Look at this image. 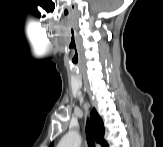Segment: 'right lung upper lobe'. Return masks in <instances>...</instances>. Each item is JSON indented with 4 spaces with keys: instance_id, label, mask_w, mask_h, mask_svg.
Returning <instances> with one entry per match:
<instances>
[{
    "instance_id": "cb5924a9",
    "label": "right lung upper lobe",
    "mask_w": 163,
    "mask_h": 147,
    "mask_svg": "<svg viewBox=\"0 0 163 147\" xmlns=\"http://www.w3.org/2000/svg\"><path fill=\"white\" fill-rule=\"evenodd\" d=\"M91 121H92V127L94 131V137L95 140L102 145V147H105L107 145L106 141L103 139L105 129L103 126V121L98 115L97 111L95 109L92 110L91 114ZM51 146H53V142L51 143Z\"/></svg>"
}]
</instances>
